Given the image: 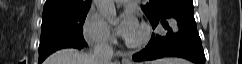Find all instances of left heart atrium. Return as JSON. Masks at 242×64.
<instances>
[{
  "instance_id": "obj_1",
  "label": "left heart atrium",
  "mask_w": 242,
  "mask_h": 64,
  "mask_svg": "<svg viewBox=\"0 0 242 64\" xmlns=\"http://www.w3.org/2000/svg\"><path fill=\"white\" fill-rule=\"evenodd\" d=\"M139 29L137 18L133 11H125L117 26V33L124 39H130Z\"/></svg>"
}]
</instances>
